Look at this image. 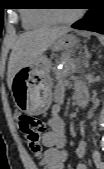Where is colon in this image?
<instances>
[{"label":"colon","mask_w":104,"mask_h":169,"mask_svg":"<svg viewBox=\"0 0 104 169\" xmlns=\"http://www.w3.org/2000/svg\"><path fill=\"white\" fill-rule=\"evenodd\" d=\"M18 127L30 152L40 157L43 153L41 139L45 132V123L37 117L21 115L18 119Z\"/></svg>","instance_id":"1"}]
</instances>
